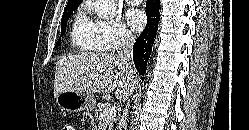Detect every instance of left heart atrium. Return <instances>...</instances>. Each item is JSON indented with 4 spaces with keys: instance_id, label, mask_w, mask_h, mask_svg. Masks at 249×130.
<instances>
[{
    "instance_id": "39dd6f15",
    "label": "left heart atrium",
    "mask_w": 249,
    "mask_h": 130,
    "mask_svg": "<svg viewBox=\"0 0 249 130\" xmlns=\"http://www.w3.org/2000/svg\"><path fill=\"white\" fill-rule=\"evenodd\" d=\"M129 26L133 31H140L146 24V15L139 9H130L126 13Z\"/></svg>"
}]
</instances>
